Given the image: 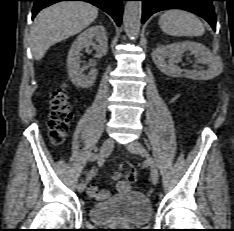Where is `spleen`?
I'll use <instances>...</instances> for the list:
<instances>
[{"label":"spleen","instance_id":"obj_1","mask_svg":"<svg viewBox=\"0 0 234 231\" xmlns=\"http://www.w3.org/2000/svg\"><path fill=\"white\" fill-rule=\"evenodd\" d=\"M159 26L168 35L176 37L202 36L205 28L194 14L183 10H168L159 19Z\"/></svg>","mask_w":234,"mask_h":231}]
</instances>
